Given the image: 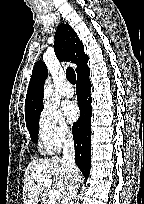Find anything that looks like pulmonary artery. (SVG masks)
<instances>
[{"label":"pulmonary artery","mask_w":144,"mask_h":204,"mask_svg":"<svg viewBox=\"0 0 144 204\" xmlns=\"http://www.w3.org/2000/svg\"><path fill=\"white\" fill-rule=\"evenodd\" d=\"M62 95L64 97H72L74 95V88L72 87V85L68 82H66L63 87H62Z\"/></svg>","instance_id":"1"}]
</instances>
